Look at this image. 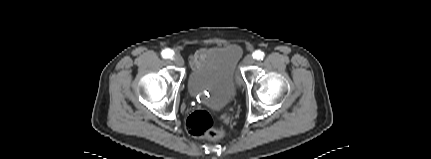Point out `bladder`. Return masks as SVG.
I'll return each mask as SVG.
<instances>
[{"label":"bladder","mask_w":431,"mask_h":159,"mask_svg":"<svg viewBox=\"0 0 431 159\" xmlns=\"http://www.w3.org/2000/svg\"><path fill=\"white\" fill-rule=\"evenodd\" d=\"M241 58L237 45L212 48L187 79L190 96L213 110L227 108L236 96L235 72Z\"/></svg>","instance_id":"bladder-1"}]
</instances>
